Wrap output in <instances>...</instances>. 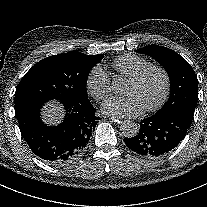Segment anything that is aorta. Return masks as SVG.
I'll return each mask as SVG.
<instances>
[{
	"mask_svg": "<svg viewBox=\"0 0 207 207\" xmlns=\"http://www.w3.org/2000/svg\"><path fill=\"white\" fill-rule=\"evenodd\" d=\"M124 87V82L121 77H115L112 82V88L116 92H121ZM120 131L125 138H133L139 132V126L136 122L127 120L120 126Z\"/></svg>",
	"mask_w": 207,
	"mask_h": 207,
	"instance_id": "aorta-1",
	"label": "aorta"
}]
</instances>
